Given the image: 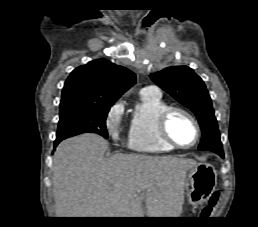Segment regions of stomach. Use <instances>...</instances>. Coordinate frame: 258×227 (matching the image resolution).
Here are the masks:
<instances>
[{
    "label": "stomach",
    "mask_w": 258,
    "mask_h": 227,
    "mask_svg": "<svg viewBox=\"0 0 258 227\" xmlns=\"http://www.w3.org/2000/svg\"><path fill=\"white\" fill-rule=\"evenodd\" d=\"M217 173L208 163H198L189 170L186 179L188 202L195 206L206 202L215 190Z\"/></svg>",
    "instance_id": "0dacf381"
}]
</instances>
